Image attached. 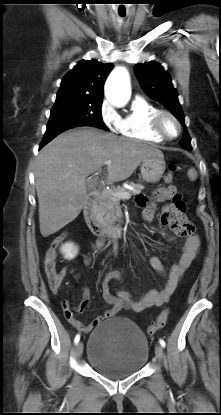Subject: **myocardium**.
I'll use <instances>...</instances> for the list:
<instances>
[{
  "label": "myocardium",
  "mask_w": 221,
  "mask_h": 415,
  "mask_svg": "<svg viewBox=\"0 0 221 415\" xmlns=\"http://www.w3.org/2000/svg\"><path fill=\"white\" fill-rule=\"evenodd\" d=\"M166 117L171 118L175 122L177 126V132L175 135H169L165 131L163 127V120ZM150 124H151L152 131L158 136H160L161 138H163L164 140H174L181 134V130H182L181 123L179 119L177 118V116L169 110L158 109L152 116Z\"/></svg>",
  "instance_id": "1"
}]
</instances>
